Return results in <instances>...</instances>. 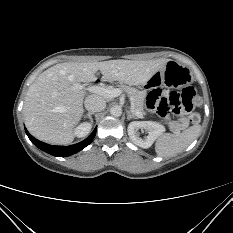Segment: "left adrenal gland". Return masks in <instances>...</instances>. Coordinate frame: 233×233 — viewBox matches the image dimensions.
<instances>
[{
    "instance_id": "a2214340",
    "label": "left adrenal gland",
    "mask_w": 233,
    "mask_h": 233,
    "mask_svg": "<svg viewBox=\"0 0 233 233\" xmlns=\"http://www.w3.org/2000/svg\"><path fill=\"white\" fill-rule=\"evenodd\" d=\"M137 119V117L135 115H133L130 111H127V120H130V119Z\"/></svg>"
}]
</instances>
